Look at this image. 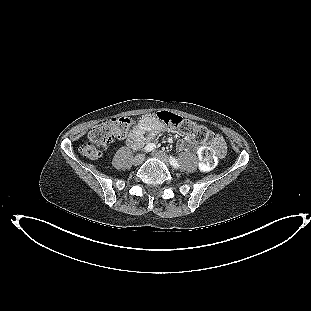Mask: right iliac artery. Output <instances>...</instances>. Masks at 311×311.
<instances>
[{
    "label": "right iliac artery",
    "instance_id": "right-iliac-artery-1",
    "mask_svg": "<svg viewBox=\"0 0 311 311\" xmlns=\"http://www.w3.org/2000/svg\"><path fill=\"white\" fill-rule=\"evenodd\" d=\"M156 148V145L153 143L148 144L147 146H145L144 151L145 152H150L152 150H154Z\"/></svg>",
    "mask_w": 311,
    "mask_h": 311
}]
</instances>
